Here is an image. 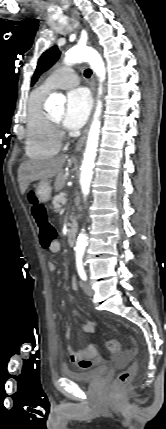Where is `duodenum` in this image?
Instances as JSON below:
<instances>
[{"mask_svg": "<svg viewBox=\"0 0 166 429\" xmlns=\"http://www.w3.org/2000/svg\"><path fill=\"white\" fill-rule=\"evenodd\" d=\"M75 238H76V229L74 226H72L67 233V241L70 246H73L75 244Z\"/></svg>", "mask_w": 166, "mask_h": 429, "instance_id": "duodenum-1", "label": "duodenum"}]
</instances>
